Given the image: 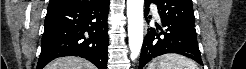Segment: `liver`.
Listing matches in <instances>:
<instances>
[{"label": "liver", "mask_w": 246, "mask_h": 69, "mask_svg": "<svg viewBox=\"0 0 246 69\" xmlns=\"http://www.w3.org/2000/svg\"><path fill=\"white\" fill-rule=\"evenodd\" d=\"M45 69H96L89 61L79 57H62L49 63Z\"/></svg>", "instance_id": "1"}]
</instances>
